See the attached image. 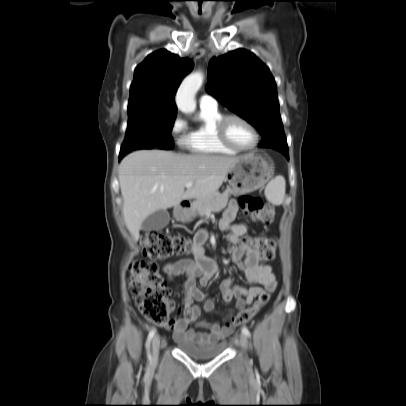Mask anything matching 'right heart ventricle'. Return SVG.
<instances>
[{"label": "right heart ventricle", "instance_id": "e07e8e85", "mask_svg": "<svg viewBox=\"0 0 406 406\" xmlns=\"http://www.w3.org/2000/svg\"><path fill=\"white\" fill-rule=\"evenodd\" d=\"M222 115L218 107L200 108V123L188 134L185 144L191 152L211 155H235L237 153L224 146L217 137L216 125Z\"/></svg>", "mask_w": 406, "mask_h": 406}]
</instances>
